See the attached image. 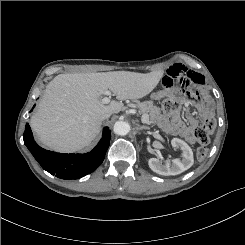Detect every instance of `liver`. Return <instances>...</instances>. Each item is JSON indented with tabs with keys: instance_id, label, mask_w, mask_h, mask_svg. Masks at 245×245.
<instances>
[{
	"instance_id": "obj_1",
	"label": "liver",
	"mask_w": 245,
	"mask_h": 245,
	"mask_svg": "<svg viewBox=\"0 0 245 245\" xmlns=\"http://www.w3.org/2000/svg\"><path fill=\"white\" fill-rule=\"evenodd\" d=\"M164 71L136 73L60 74L46 87L31 127L39 141L50 149L70 153L88 146L99 134L101 116L124 109L121 101L140 99L159 83ZM110 90L120 101L103 104L101 95Z\"/></svg>"
}]
</instances>
